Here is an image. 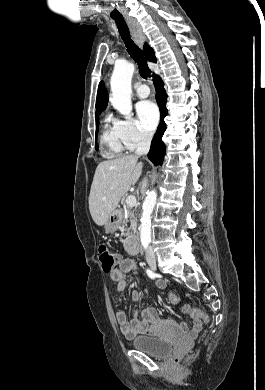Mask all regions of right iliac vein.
<instances>
[{"mask_svg": "<svg viewBox=\"0 0 265 390\" xmlns=\"http://www.w3.org/2000/svg\"><path fill=\"white\" fill-rule=\"evenodd\" d=\"M147 262H148V264L150 265V267L152 268V270L155 271L156 268H157L155 257H153V256H148V257H147Z\"/></svg>", "mask_w": 265, "mask_h": 390, "instance_id": "right-iliac-vein-1", "label": "right iliac vein"}]
</instances>
